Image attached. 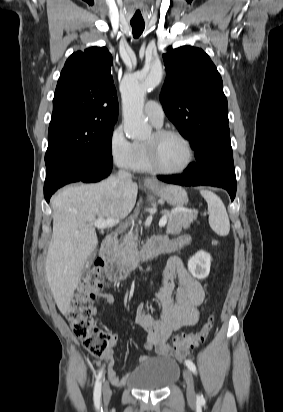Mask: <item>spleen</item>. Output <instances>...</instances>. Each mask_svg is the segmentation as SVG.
<instances>
[{"label": "spleen", "mask_w": 283, "mask_h": 412, "mask_svg": "<svg viewBox=\"0 0 283 412\" xmlns=\"http://www.w3.org/2000/svg\"><path fill=\"white\" fill-rule=\"evenodd\" d=\"M200 193L208 204L210 227L216 234L227 236L230 231V222L222 200L211 191L202 190Z\"/></svg>", "instance_id": "spleen-1"}]
</instances>
